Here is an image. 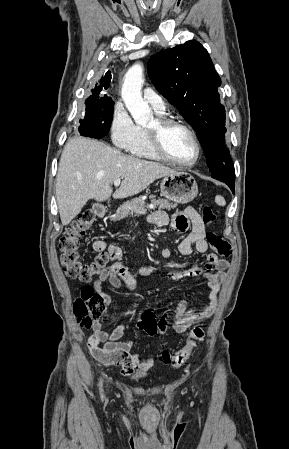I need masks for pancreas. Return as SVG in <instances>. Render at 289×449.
I'll return each mask as SVG.
<instances>
[{"label":"pancreas","instance_id":"1","mask_svg":"<svg viewBox=\"0 0 289 449\" xmlns=\"http://www.w3.org/2000/svg\"><path fill=\"white\" fill-rule=\"evenodd\" d=\"M145 198L146 196H140L138 198H134L126 202L125 204L119 207V209L116 211V213L112 216L110 220L113 222L120 221L125 217H127L128 215H133L138 210H146V208H148V205H146L145 203ZM149 198L151 199L153 208L158 207L160 209L171 210L177 206L176 204H172L165 199L161 198L156 199L154 195H150Z\"/></svg>","mask_w":289,"mask_h":449}]
</instances>
